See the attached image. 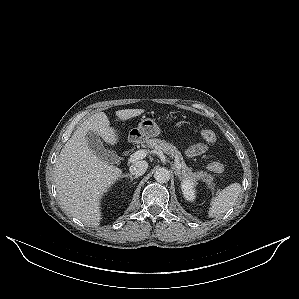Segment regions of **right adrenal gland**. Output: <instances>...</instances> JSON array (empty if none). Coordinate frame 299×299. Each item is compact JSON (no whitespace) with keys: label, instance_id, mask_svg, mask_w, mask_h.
Segmentation results:
<instances>
[{"label":"right adrenal gland","instance_id":"obj_1","mask_svg":"<svg viewBox=\"0 0 299 299\" xmlns=\"http://www.w3.org/2000/svg\"><path fill=\"white\" fill-rule=\"evenodd\" d=\"M123 177H126V178H129L130 181H133L134 179L137 178V176H132L131 174H126V175H123Z\"/></svg>","mask_w":299,"mask_h":299}]
</instances>
